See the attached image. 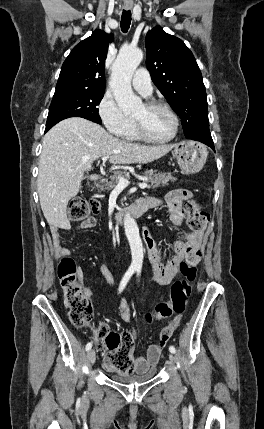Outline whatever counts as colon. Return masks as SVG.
I'll list each match as a JSON object with an SVG mask.
<instances>
[{
  "mask_svg": "<svg viewBox=\"0 0 264 429\" xmlns=\"http://www.w3.org/2000/svg\"><path fill=\"white\" fill-rule=\"evenodd\" d=\"M99 210L100 205L97 201L76 197L70 202L69 217L72 221H82L90 213H98ZM186 213L187 224L193 232H201L205 229L209 215L198 205L190 204ZM200 255L201 252L198 248L188 250L185 260L180 263L182 278L172 284L169 300L159 303L154 312L145 315L147 323L168 318L172 313L180 315L185 311L191 294V283L196 277V265ZM57 271L63 299L69 308L70 321L77 328L88 326L92 319V305L78 281L74 260L68 255H62ZM168 334V332L160 334L159 343L161 345L165 344ZM94 339L97 348H105L107 351L105 363L109 372L121 375L132 373L134 339L128 332H117L106 325H99L95 329Z\"/></svg>",
  "mask_w": 264,
  "mask_h": 429,
  "instance_id": "5ec220e1",
  "label": "colon"
}]
</instances>
